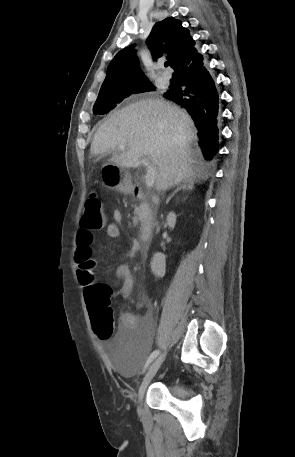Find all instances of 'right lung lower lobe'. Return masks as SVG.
<instances>
[{
  "label": "right lung lower lobe",
  "mask_w": 295,
  "mask_h": 457,
  "mask_svg": "<svg viewBox=\"0 0 295 457\" xmlns=\"http://www.w3.org/2000/svg\"><path fill=\"white\" fill-rule=\"evenodd\" d=\"M202 56L195 48L181 56L172 67L179 75L176 86H170L164 97L184 107L199 131V144L207 160L218 151V93Z\"/></svg>",
  "instance_id": "obj_1"
}]
</instances>
